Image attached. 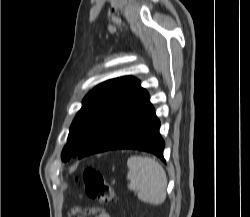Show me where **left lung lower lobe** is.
<instances>
[{"mask_svg":"<svg viewBox=\"0 0 250 217\" xmlns=\"http://www.w3.org/2000/svg\"><path fill=\"white\" fill-rule=\"evenodd\" d=\"M159 127L160 121L149 95L139 85L78 157L109 150L134 149L153 153L165 162V143L159 134Z\"/></svg>","mask_w":250,"mask_h":217,"instance_id":"1","label":"left lung lower lobe"}]
</instances>
